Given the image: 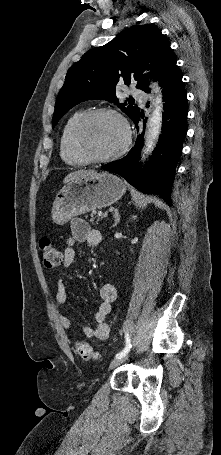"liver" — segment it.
I'll use <instances>...</instances> for the list:
<instances>
[{"mask_svg":"<svg viewBox=\"0 0 221 455\" xmlns=\"http://www.w3.org/2000/svg\"><path fill=\"white\" fill-rule=\"evenodd\" d=\"M98 173L94 170H78L74 171L70 174H68L64 180L63 183H69L72 180L78 179L80 177H88V176H94L97 175Z\"/></svg>","mask_w":221,"mask_h":455,"instance_id":"1","label":"liver"}]
</instances>
